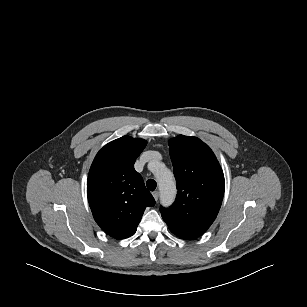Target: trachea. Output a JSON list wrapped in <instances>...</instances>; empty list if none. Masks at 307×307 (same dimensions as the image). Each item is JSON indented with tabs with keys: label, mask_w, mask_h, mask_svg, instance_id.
Masks as SVG:
<instances>
[{
	"label": "trachea",
	"mask_w": 307,
	"mask_h": 307,
	"mask_svg": "<svg viewBox=\"0 0 307 307\" xmlns=\"http://www.w3.org/2000/svg\"><path fill=\"white\" fill-rule=\"evenodd\" d=\"M146 186L150 191H154L156 189L157 183L153 179H149L146 182Z\"/></svg>",
	"instance_id": "obj_1"
}]
</instances>
